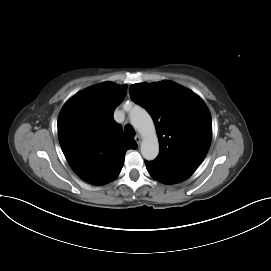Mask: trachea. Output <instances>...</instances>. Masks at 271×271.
Instances as JSON below:
<instances>
[{
  "label": "trachea",
  "mask_w": 271,
  "mask_h": 271,
  "mask_svg": "<svg viewBox=\"0 0 271 271\" xmlns=\"http://www.w3.org/2000/svg\"><path fill=\"white\" fill-rule=\"evenodd\" d=\"M124 131H125V133H126L128 136H134V135H135V130H134V128H133L131 125H129V124H127V125L125 126Z\"/></svg>",
  "instance_id": "trachea-1"
}]
</instances>
